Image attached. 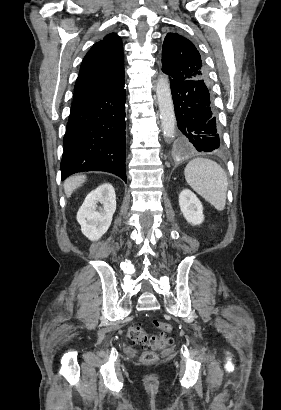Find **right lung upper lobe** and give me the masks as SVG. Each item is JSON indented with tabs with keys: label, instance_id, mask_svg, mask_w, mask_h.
<instances>
[{
	"label": "right lung upper lobe",
	"instance_id": "1",
	"mask_svg": "<svg viewBox=\"0 0 281 410\" xmlns=\"http://www.w3.org/2000/svg\"><path fill=\"white\" fill-rule=\"evenodd\" d=\"M124 83V55L120 37L111 33L94 44L81 64L74 102L112 90Z\"/></svg>",
	"mask_w": 281,
	"mask_h": 410
}]
</instances>
